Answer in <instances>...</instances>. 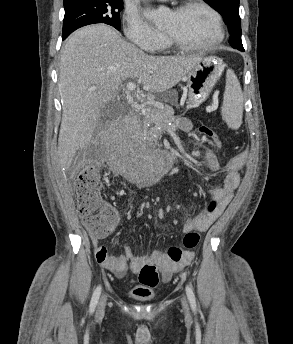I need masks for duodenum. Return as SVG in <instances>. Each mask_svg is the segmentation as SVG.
<instances>
[{"label": "duodenum", "mask_w": 293, "mask_h": 344, "mask_svg": "<svg viewBox=\"0 0 293 344\" xmlns=\"http://www.w3.org/2000/svg\"><path fill=\"white\" fill-rule=\"evenodd\" d=\"M126 117L128 119H131L132 118V113L129 112L127 113ZM164 156L166 157L167 159V166H175L179 163L180 159L178 158L177 155L173 154V153H165Z\"/></svg>", "instance_id": "410a0bca"}]
</instances>
